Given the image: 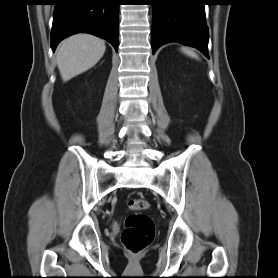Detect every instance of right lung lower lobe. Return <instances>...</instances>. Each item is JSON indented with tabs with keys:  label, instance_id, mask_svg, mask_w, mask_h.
I'll use <instances>...</instances> for the list:
<instances>
[{
	"label": "right lung lower lobe",
	"instance_id": "right-lung-lower-lobe-1",
	"mask_svg": "<svg viewBox=\"0 0 278 278\" xmlns=\"http://www.w3.org/2000/svg\"><path fill=\"white\" fill-rule=\"evenodd\" d=\"M119 0H56L51 47L75 33L86 32L110 42L118 51Z\"/></svg>",
	"mask_w": 278,
	"mask_h": 278
}]
</instances>
